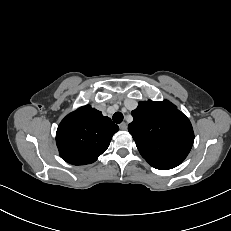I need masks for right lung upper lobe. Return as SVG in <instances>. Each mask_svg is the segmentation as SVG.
Returning a JSON list of instances; mask_svg holds the SVG:
<instances>
[{
	"label": "right lung upper lobe",
	"mask_w": 231,
	"mask_h": 231,
	"mask_svg": "<svg viewBox=\"0 0 231 231\" xmlns=\"http://www.w3.org/2000/svg\"><path fill=\"white\" fill-rule=\"evenodd\" d=\"M118 130L100 111L89 105L80 107L58 126L56 143L60 156L73 165L93 163L105 152Z\"/></svg>",
	"instance_id": "obj_1"
}]
</instances>
